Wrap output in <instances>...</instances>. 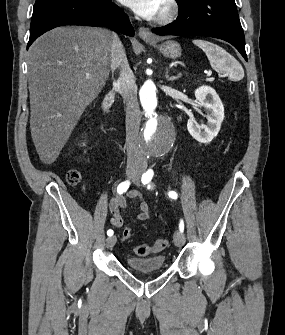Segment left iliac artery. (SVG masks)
Returning <instances> with one entry per match:
<instances>
[{"instance_id": "left-iliac-artery-1", "label": "left iliac artery", "mask_w": 285, "mask_h": 335, "mask_svg": "<svg viewBox=\"0 0 285 335\" xmlns=\"http://www.w3.org/2000/svg\"><path fill=\"white\" fill-rule=\"evenodd\" d=\"M153 170L152 169H149L147 172H145L143 175H142V183L145 185V184H148L152 177H153ZM150 188V185H148V189ZM169 197L173 198V199H176L177 198V193L174 192V191H170L169 192ZM179 228H180V231L183 232L184 230V222L183 220L180 221V224H179Z\"/></svg>"}]
</instances>
